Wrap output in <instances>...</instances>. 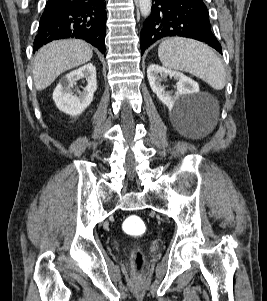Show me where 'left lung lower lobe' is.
Segmentation results:
<instances>
[{"mask_svg": "<svg viewBox=\"0 0 267 301\" xmlns=\"http://www.w3.org/2000/svg\"><path fill=\"white\" fill-rule=\"evenodd\" d=\"M152 13L141 30V54L155 41L181 36L203 41L219 53L222 48L214 36L206 5L202 0H153Z\"/></svg>", "mask_w": 267, "mask_h": 301, "instance_id": "1", "label": "left lung lower lobe"}]
</instances>
